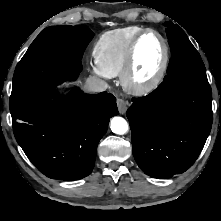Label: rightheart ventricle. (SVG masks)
I'll return each mask as SVG.
<instances>
[{
	"label": "right heart ventricle",
	"mask_w": 221,
	"mask_h": 221,
	"mask_svg": "<svg viewBox=\"0 0 221 221\" xmlns=\"http://www.w3.org/2000/svg\"><path fill=\"white\" fill-rule=\"evenodd\" d=\"M145 28L127 26L103 33L96 41L93 54L96 63L109 76L120 75L130 43Z\"/></svg>",
	"instance_id": "1"
}]
</instances>
